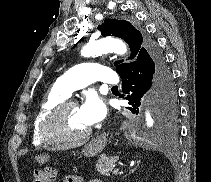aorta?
<instances>
[{"mask_svg": "<svg viewBox=\"0 0 211 182\" xmlns=\"http://www.w3.org/2000/svg\"><path fill=\"white\" fill-rule=\"evenodd\" d=\"M109 52H114L118 55H124L127 52V46L120 39L111 37L101 38L99 40L90 41L89 43H87L82 48L81 55L84 57H90ZM145 116L147 126L152 127L155 123L152 114L147 111Z\"/></svg>", "mask_w": 211, "mask_h": 182, "instance_id": "aorta-1", "label": "aorta"}]
</instances>
